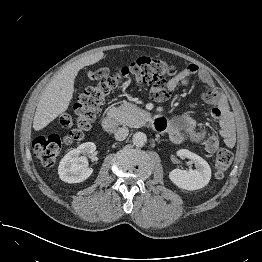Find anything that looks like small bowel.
I'll list each match as a JSON object with an SVG mask.
<instances>
[{
  "instance_id": "1",
  "label": "small bowel",
  "mask_w": 262,
  "mask_h": 262,
  "mask_svg": "<svg viewBox=\"0 0 262 262\" xmlns=\"http://www.w3.org/2000/svg\"><path fill=\"white\" fill-rule=\"evenodd\" d=\"M194 75L207 85L208 89L203 99L213 105L211 116L221 124L223 143L228 147H233L235 132L228 100L207 73L197 65H188L171 78L166 85V96L159 100H166L178 86L188 85L190 78ZM160 129L166 132L168 139L174 144H181L188 138L194 143L202 144L210 154L215 153L219 146L218 139L199 128L190 112L174 117L169 123L162 120Z\"/></svg>"
}]
</instances>
